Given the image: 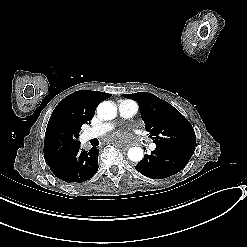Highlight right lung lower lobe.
I'll use <instances>...</instances> for the list:
<instances>
[{
  "instance_id": "98d812e1",
  "label": "right lung lower lobe",
  "mask_w": 247,
  "mask_h": 247,
  "mask_svg": "<svg viewBox=\"0 0 247 247\" xmlns=\"http://www.w3.org/2000/svg\"><path fill=\"white\" fill-rule=\"evenodd\" d=\"M99 150L80 149V142L58 154L45 156V161L53 174L67 183H82L92 178L98 171Z\"/></svg>"
}]
</instances>
